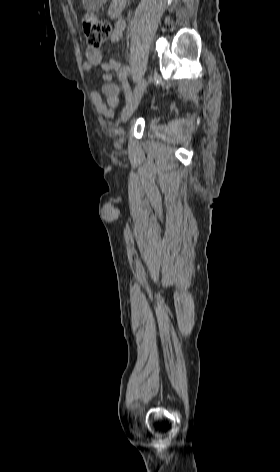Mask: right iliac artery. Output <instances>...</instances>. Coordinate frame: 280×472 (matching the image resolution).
Segmentation results:
<instances>
[{
    "mask_svg": "<svg viewBox=\"0 0 280 472\" xmlns=\"http://www.w3.org/2000/svg\"><path fill=\"white\" fill-rule=\"evenodd\" d=\"M129 73H130V68L128 66L122 67L119 72L120 81L122 82V85L125 89L126 100H129L131 97V90H130L128 80H127Z\"/></svg>",
    "mask_w": 280,
    "mask_h": 472,
    "instance_id": "right-iliac-artery-1",
    "label": "right iliac artery"
}]
</instances>
